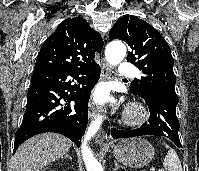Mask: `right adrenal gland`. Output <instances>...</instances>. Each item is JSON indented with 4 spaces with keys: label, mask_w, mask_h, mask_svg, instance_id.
Masks as SVG:
<instances>
[{
    "label": "right adrenal gland",
    "mask_w": 199,
    "mask_h": 171,
    "mask_svg": "<svg viewBox=\"0 0 199 171\" xmlns=\"http://www.w3.org/2000/svg\"><path fill=\"white\" fill-rule=\"evenodd\" d=\"M61 158H62V159H66V158H67V159H69L70 161L72 160V158L69 156V154H68L67 152L65 153V156H64V157L62 156Z\"/></svg>",
    "instance_id": "obj_1"
}]
</instances>
